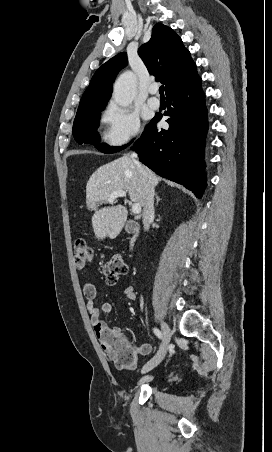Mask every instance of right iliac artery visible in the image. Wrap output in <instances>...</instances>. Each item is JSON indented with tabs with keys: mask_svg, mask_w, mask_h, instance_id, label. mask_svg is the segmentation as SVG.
<instances>
[{
	"mask_svg": "<svg viewBox=\"0 0 272 452\" xmlns=\"http://www.w3.org/2000/svg\"><path fill=\"white\" fill-rule=\"evenodd\" d=\"M153 332L159 339H162L163 335H162V332L159 329L154 328Z\"/></svg>",
	"mask_w": 272,
	"mask_h": 452,
	"instance_id": "obj_1",
	"label": "right iliac artery"
}]
</instances>
